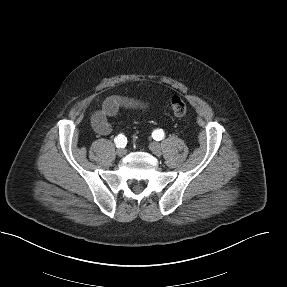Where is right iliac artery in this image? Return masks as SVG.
I'll list each match as a JSON object with an SVG mask.
<instances>
[{"instance_id": "right-iliac-artery-1", "label": "right iliac artery", "mask_w": 287, "mask_h": 287, "mask_svg": "<svg viewBox=\"0 0 287 287\" xmlns=\"http://www.w3.org/2000/svg\"><path fill=\"white\" fill-rule=\"evenodd\" d=\"M114 142L118 148H124L127 144V138L124 135H118Z\"/></svg>"}]
</instances>
